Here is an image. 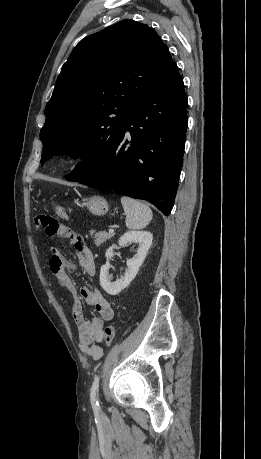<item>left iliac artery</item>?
I'll list each match as a JSON object with an SVG mask.
<instances>
[{
  "label": "left iliac artery",
  "mask_w": 261,
  "mask_h": 459,
  "mask_svg": "<svg viewBox=\"0 0 261 459\" xmlns=\"http://www.w3.org/2000/svg\"><path fill=\"white\" fill-rule=\"evenodd\" d=\"M99 379H100L99 376L95 377L92 387H91V392H90L91 404L94 409H99V402H98Z\"/></svg>",
  "instance_id": "obj_1"
}]
</instances>
